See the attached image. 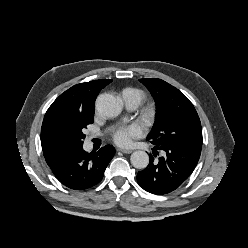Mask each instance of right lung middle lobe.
<instances>
[{
	"label": "right lung middle lobe",
	"instance_id": "obj_1",
	"mask_svg": "<svg viewBox=\"0 0 248 248\" xmlns=\"http://www.w3.org/2000/svg\"><path fill=\"white\" fill-rule=\"evenodd\" d=\"M93 123V114H78L66 119L61 125V131L67 141L74 147L82 146L87 125Z\"/></svg>",
	"mask_w": 248,
	"mask_h": 248
}]
</instances>
